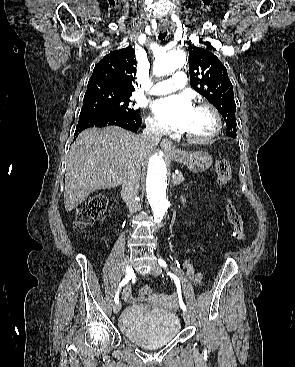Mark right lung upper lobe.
<instances>
[{
	"instance_id": "right-lung-upper-lobe-1",
	"label": "right lung upper lobe",
	"mask_w": 295,
	"mask_h": 367,
	"mask_svg": "<svg viewBox=\"0 0 295 367\" xmlns=\"http://www.w3.org/2000/svg\"><path fill=\"white\" fill-rule=\"evenodd\" d=\"M135 53L132 46L110 52L95 67L88 82L89 89H105L132 94L137 83Z\"/></svg>"
}]
</instances>
